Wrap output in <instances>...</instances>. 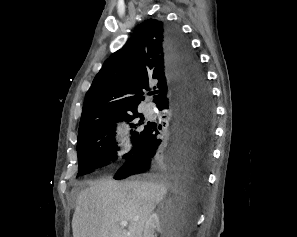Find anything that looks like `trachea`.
<instances>
[{"label": "trachea", "instance_id": "obj_1", "mask_svg": "<svg viewBox=\"0 0 297 237\" xmlns=\"http://www.w3.org/2000/svg\"><path fill=\"white\" fill-rule=\"evenodd\" d=\"M153 93L155 94V93H158V92L157 91H154Z\"/></svg>", "mask_w": 297, "mask_h": 237}]
</instances>
